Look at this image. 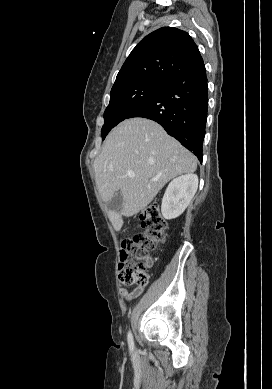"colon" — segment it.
<instances>
[{
	"instance_id": "obj_1",
	"label": "colon",
	"mask_w": 272,
	"mask_h": 389,
	"mask_svg": "<svg viewBox=\"0 0 272 389\" xmlns=\"http://www.w3.org/2000/svg\"><path fill=\"white\" fill-rule=\"evenodd\" d=\"M140 219L144 231L121 244L119 280L127 286L148 283L147 256L165 240L167 223L156 204L142 210Z\"/></svg>"
}]
</instances>
